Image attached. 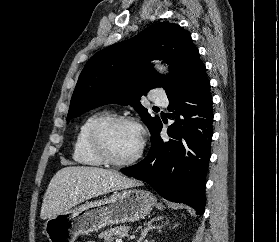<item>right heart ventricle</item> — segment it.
Masks as SVG:
<instances>
[{"mask_svg": "<svg viewBox=\"0 0 279 242\" xmlns=\"http://www.w3.org/2000/svg\"><path fill=\"white\" fill-rule=\"evenodd\" d=\"M107 116L106 112H98L88 116L80 125L73 144V160L82 166L100 167L104 161L97 155L90 142V132L100 118Z\"/></svg>", "mask_w": 279, "mask_h": 242, "instance_id": "obj_1", "label": "right heart ventricle"}]
</instances>
